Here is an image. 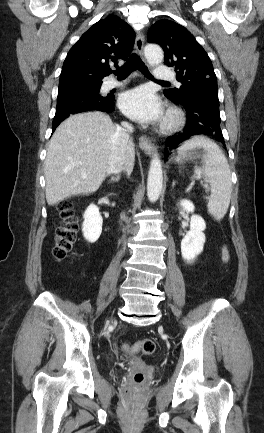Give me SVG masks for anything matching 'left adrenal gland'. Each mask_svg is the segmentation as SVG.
<instances>
[{"instance_id": "1", "label": "left adrenal gland", "mask_w": 264, "mask_h": 433, "mask_svg": "<svg viewBox=\"0 0 264 433\" xmlns=\"http://www.w3.org/2000/svg\"><path fill=\"white\" fill-rule=\"evenodd\" d=\"M175 184H176V182L173 180V182H172V188H174Z\"/></svg>"}]
</instances>
